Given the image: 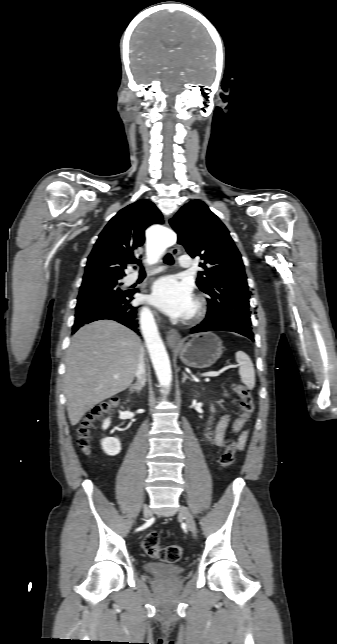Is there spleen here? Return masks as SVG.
<instances>
[{
    "mask_svg": "<svg viewBox=\"0 0 337 644\" xmlns=\"http://www.w3.org/2000/svg\"><path fill=\"white\" fill-rule=\"evenodd\" d=\"M236 361L239 365L241 382L252 390L255 387V371L251 359L245 352L238 351L236 352Z\"/></svg>",
    "mask_w": 337,
    "mask_h": 644,
    "instance_id": "spleen-1",
    "label": "spleen"
}]
</instances>
